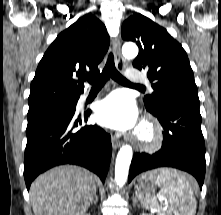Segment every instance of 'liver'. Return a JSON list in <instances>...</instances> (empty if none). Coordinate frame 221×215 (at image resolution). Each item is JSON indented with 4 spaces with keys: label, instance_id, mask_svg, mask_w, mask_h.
<instances>
[{
    "label": "liver",
    "instance_id": "liver-1",
    "mask_svg": "<svg viewBox=\"0 0 221 215\" xmlns=\"http://www.w3.org/2000/svg\"><path fill=\"white\" fill-rule=\"evenodd\" d=\"M96 191L88 170L64 165L38 176L30 187L34 215H84Z\"/></svg>",
    "mask_w": 221,
    "mask_h": 215
}]
</instances>
